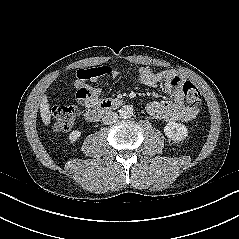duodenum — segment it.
Here are the masks:
<instances>
[{"instance_id":"410a0bca","label":"duodenum","mask_w":239,"mask_h":239,"mask_svg":"<svg viewBox=\"0 0 239 239\" xmlns=\"http://www.w3.org/2000/svg\"><path fill=\"white\" fill-rule=\"evenodd\" d=\"M122 105L120 100L106 99L96 107L85 112L84 116L88 122H98L104 115Z\"/></svg>"}]
</instances>
